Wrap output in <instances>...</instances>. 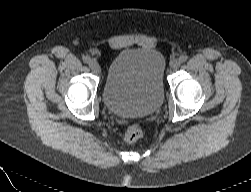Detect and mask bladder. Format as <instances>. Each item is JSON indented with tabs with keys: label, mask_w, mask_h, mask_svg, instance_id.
<instances>
[{
	"label": "bladder",
	"mask_w": 251,
	"mask_h": 192,
	"mask_svg": "<svg viewBox=\"0 0 251 192\" xmlns=\"http://www.w3.org/2000/svg\"><path fill=\"white\" fill-rule=\"evenodd\" d=\"M165 58L148 48H127L112 60L103 88L107 109L122 117L156 112L164 98Z\"/></svg>",
	"instance_id": "bladder-1"
}]
</instances>
